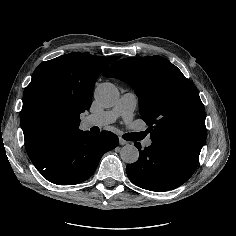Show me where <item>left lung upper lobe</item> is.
Wrapping results in <instances>:
<instances>
[{
  "label": "left lung upper lobe",
  "mask_w": 236,
  "mask_h": 236,
  "mask_svg": "<svg viewBox=\"0 0 236 236\" xmlns=\"http://www.w3.org/2000/svg\"><path fill=\"white\" fill-rule=\"evenodd\" d=\"M103 76L125 81L135 90L151 139L200 154L207 136L205 108L196 86L169 60L157 55L124 58Z\"/></svg>",
  "instance_id": "obj_1"
}]
</instances>
